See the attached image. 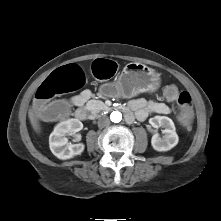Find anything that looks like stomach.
I'll return each mask as SVG.
<instances>
[{"label":"stomach","instance_id":"0dacf381","mask_svg":"<svg viewBox=\"0 0 221 221\" xmlns=\"http://www.w3.org/2000/svg\"><path fill=\"white\" fill-rule=\"evenodd\" d=\"M110 86L113 96L129 98L156 91L160 87V75L144 64L131 62Z\"/></svg>","mask_w":221,"mask_h":221}]
</instances>
